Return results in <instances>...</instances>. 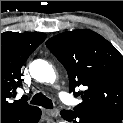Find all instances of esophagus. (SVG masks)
Instances as JSON below:
<instances>
[{
	"mask_svg": "<svg viewBox=\"0 0 123 123\" xmlns=\"http://www.w3.org/2000/svg\"><path fill=\"white\" fill-rule=\"evenodd\" d=\"M45 113L52 117H57L59 115L58 110H46Z\"/></svg>",
	"mask_w": 123,
	"mask_h": 123,
	"instance_id": "1",
	"label": "esophagus"
}]
</instances>
